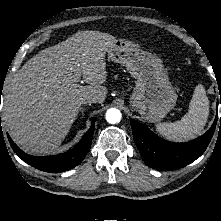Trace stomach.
<instances>
[{
    "mask_svg": "<svg viewBox=\"0 0 221 221\" xmlns=\"http://www.w3.org/2000/svg\"><path fill=\"white\" fill-rule=\"evenodd\" d=\"M111 61L123 64L135 78L130 104L149 122H158L170 112L177 100L162 60L137 44L119 39L108 49Z\"/></svg>",
    "mask_w": 221,
    "mask_h": 221,
    "instance_id": "obj_1",
    "label": "stomach"
}]
</instances>
